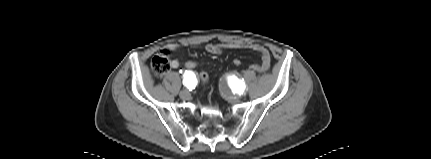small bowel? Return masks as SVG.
I'll use <instances>...</instances> for the list:
<instances>
[{"label": "small bowel", "mask_w": 431, "mask_h": 159, "mask_svg": "<svg viewBox=\"0 0 431 159\" xmlns=\"http://www.w3.org/2000/svg\"><path fill=\"white\" fill-rule=\"evenodd\" d=\"M177 48H178L177 44H171V45H168L164 49L163 52L168 53L170 51L176 50ZM240 48H250V49H252L255 52H258L260 54L261 61H260V63L252 66V68L254 70H256L258 72H265L269 69L270 62H271L270 54L265 47H263L259 44H245V43H241V42H227V43L208 44L206 46V51L210 54L218 55V54H221L223 51L228 50V49H240ZM170 66L173 69H177L180 66L179 60L178 59H172L170 61Z\"/></svg>", "instance_id": "small-bowel-1"}]
</instances>
